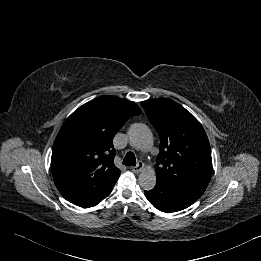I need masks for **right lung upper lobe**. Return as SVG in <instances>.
I'll return each mask as SVG.
<instances>
[{
	"instance_id": "right-lung-upper-lobe-1",
	"label": "right lung upper lobe",
	"mask_w": 261,
	"mask_h": 261,
	"mask_svg": "<svg viewBox=\"0 0 261 261\" xmlns=\"http://www.w3.org/2000/svg\"><path fill=\"white\" fill-rule=\"evenodd\" d=\"M140 114L134 102L101 96L66 119L51 157L53 180L65 199L81 206L112 190L120 176L113 138L130 117Z\"/></svg>"
}]
</instances>
